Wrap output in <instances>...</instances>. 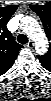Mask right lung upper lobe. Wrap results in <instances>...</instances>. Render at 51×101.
<instances>
[{
    "mask_svg": "<svg viewBox=\"0 0 51 101\" xmlns=\"http://www.w3.org/2000/svg\"><path fill=\"white\" fill-rule=\"evenodd\" d=\"M17 9V5L0 8V74L8 71L22 45L15 42L6 25Z\"/></svg>",
    "mask_w": 51,
    "mask_h": 101,
    "instance_id": "1",
    "label": "right lung upper lobe"
}]
</instances>
